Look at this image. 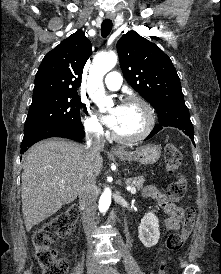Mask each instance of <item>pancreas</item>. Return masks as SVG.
<instances>
[{"instance_id":"1","label":"pancreas","mask_w":221,"mask_h":274,"mask_svg":"<svg viewBox=\"0 0 221 274\" xmlns=\"http://www.w3.org/2000/svg\"><path fill=\"white\" fill-rule=\"evenodd\" d=\"M144 181H145V179L143 176H138V177H134V178H129L126 181V183L128 185L135 187V189H137V190H141L143 188Z\"/></svg>"}]
</instances>
